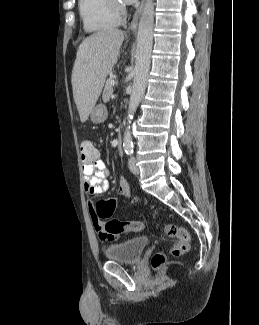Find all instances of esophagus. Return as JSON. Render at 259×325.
<instances>
[{
    "label": "esophagus",
    "instance_id": "34e87169",
    "mask_svg": "<svg viewBox=\"0 0 259 325\" xmlns=\"http://www.w3.org/2000/svg\"><path fill=\"white\" fill-rule=\"evenodd\" d=\"M144 4H145V0H141V4L140 6L138 7V9L136 10L134 16H133V19L128 27V32H132L134 33L137 29V26H138V22H139V18L141 16V13L143 11V8H144Z\"/></svg>",
    "mask_w": 259,
    "mask_h": 325
}]
</instances>
